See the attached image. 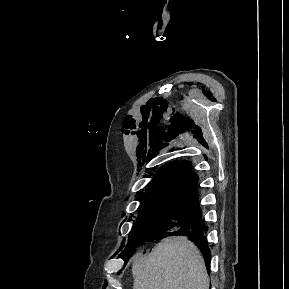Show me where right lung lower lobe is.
Returning <instances> with one entry per match:
<instances>
[{"instance_id": "right-lung-lower-lobe-1", "label": "right lung lower lobe", "mask_w": 289, "mask_h": 289, "mask_svg": "<svg viewBox=\"0 0 289 289\" xmlns=\"http://www.w3.org/2000/svg\"><path fill=\"white\" fill-rule=\"evenodd\" d=\"M207 227L205 226V222L202 219V212L198 205L193 211V215L188 219V221L182 226L180 229H178L176 232H173L172 235H184L188 236L190 239L193 240V242L197 245V247L200 248L207 268H209L210 265V252L209 248L206 244V239H205V233H206ZM170 236V235H168ZM166 237V236H164ZM163 238V236H153L149 239H145L142 242H145L146 240H160ZM140 242V243H142ZM139 242L133 243L128 247L126 252L124 253L123 257L128 258L131 254L132 251L140 244Z\"/></svg>"}]
</instances>
